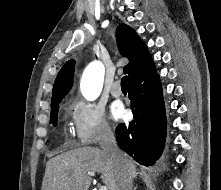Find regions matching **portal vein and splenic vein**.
Segmentation results:
<instances>
[{"label":"portal vein and splenic vein","instance_id":"portal-vein-and-splenic-vein-1","mask_svg":"<svg viewBox=\"0 0 221 190\" xmlns=\"http://www.w3.org/2000/svg\"><path fill=\"white\" fill-rule=\"evenodd\" d=\"M88 174H89L90 176H94V175H95L94 172H88ZM99 190H108V189H107L106 186H101Z\"/></svg>","mask_w":221,"mask_h":190}]
</instances>
